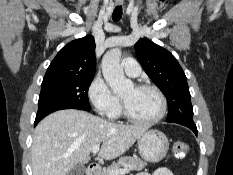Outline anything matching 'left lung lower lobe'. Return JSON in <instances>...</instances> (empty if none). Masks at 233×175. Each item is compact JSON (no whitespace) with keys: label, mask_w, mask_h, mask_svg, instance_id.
Returning a JSON list of instances; mask_svg holds the SVG:
<instances>
[{"label":"left lung lower lobe","mask_w":233,"mask_h":175,"mask_svg":"<svg viewBox=\"0 0 233 175\" xmlns=\"http://www.w3.org/2000/svg\"><path fill=\"white\" fill-rule=\"evenodd\" d=\"M175 123L188 127L189 129H191L195 133V135H197V128H196V125L194 122L193 123L175 122Z\"/></svg>","instance_id":"obj_1"}]
</instances>
